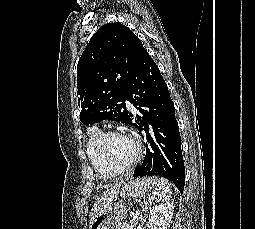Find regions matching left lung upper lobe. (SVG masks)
I'll return each mask as SVG.
<instances>
[{
    "label": "left lung upper lobe",
    "mask_w": 255,
    "mask_h": 229,
    "mask_svg": "<svg viewBox=\"0 0 255 229\" xmlns=\"http://www.w3.org/2000/svg\"><path fill=\"white\" fill-rule=\"evenodd\" d=\"M121 23H107L91 37L77 65V94L83 124L105 119L127 123L123 93L144 51Z\"/></svg>",
    "instance_id": "1"
}]
</instances>
